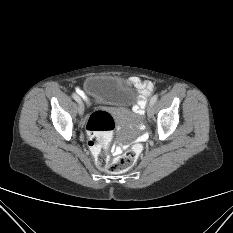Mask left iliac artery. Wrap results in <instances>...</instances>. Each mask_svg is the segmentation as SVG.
<instances>
[{
    "mask_svg": "<svg viewBox=\"0 0 233 233\" xmlns=\"http://www.w3.org/2000/svg\"><path fill=\"white\" fill-rule=\"evenodd\" d=\"M157 99H158V94H155V95L151 98L150 103L154 105V103L157 101Z\"/></svg>",
    "mask_w": 233,
    "mask_h": 233,
    "instance_id": "44dca946",
    "label": "left iliac artery"
}]
</instances>
